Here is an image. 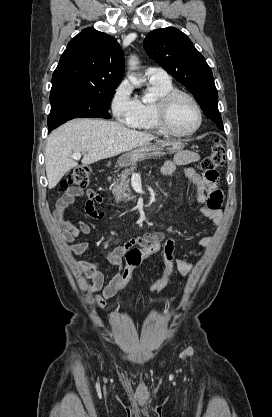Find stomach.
<instances>
[{"instance_id":"stomach-1","label":"stomach","mask_w":272,"mask_h":417,"mask_svg":"<svg viewBox=\"0 0 272 417\" xmlns=\"http://www.w3.org/2000/svg\"><path fill=\"white\" fill-rule=\"evenodd\" d=\"M183 144L173 141H161L157 140L154 143H146L138 148L131 150L121 157H119L117 163L120 167L136 164L138 161L145 159H151L155 157H162L168 153L176 152L183 148Z\"/></svg>"}]
</instances>
